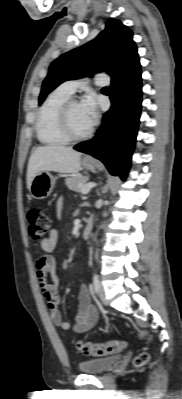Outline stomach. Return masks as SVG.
Masks as SVG:
<instances>
[{"instance_id":"0dacf381","label":"stomach","mask_w":182,"mask_h":399,"mask_svg":"<svg viewBox=\"0 0 182 399\" xmlns=\"http://www.w3.org/2000/svg\"><path fill=\"white\" fill-rule=\"evenodd\" d=\"M82 165L86 169L93 171L97 166V162L84 160ZM55 182L56 178L49 171L41 172L33 178L29 192L33 198L45 199L52 193Z\"/></svg>"}]
</instances>
